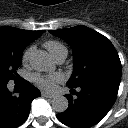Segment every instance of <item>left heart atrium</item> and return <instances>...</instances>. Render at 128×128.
Masks as SVG:
<instances>
[{
    "instance_id": "obj_1",
    "label": "left heart atrium",
    "mask_w": 128,
    "mask_h": 128,
    "mask_svg": "<svg viewBox=\"0 0 128 128\" xmlns=\"http://www.w3.org/2000/svg\"><path fill=\"white\" fill-rule=\"evenodd\" d=\"M33 81L42 89L51 91L53 90L58 83L63 81V76L61 74H51L43 76L36 74L33 76Z\"/></svg>"
}]
</instances>
